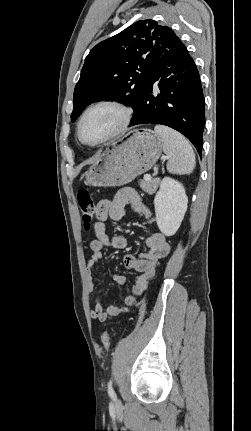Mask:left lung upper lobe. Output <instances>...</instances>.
Listing matches in <instances>:
<instances>
[{"label": "left lung upper lobe", "instance_id": "obj_1", "mask_svg": "<svg viewBox=\"0 0 251 431\" xmlns=\"http://www.w3.org/2000/svg\"><path fill=\"white\" fill-rule=\"evenodd\" d=\"M174 32L154 20H141L93 47L74 90V122L89 104L117 101L135 111L140 104L156 50Z\"/></svg>", "mask_w": 251, "mask_h": 431}]
</instances>
